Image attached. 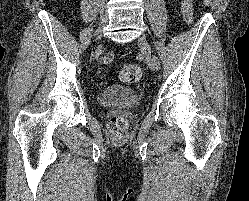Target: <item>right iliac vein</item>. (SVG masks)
I'll return each mask as SVG.
<instances>
[{"instance_id": "obj_1", "label": "right iliac vein", "mask_w": 249, "mask_h": 201, "mask_svg": "<svg viewBox=\"0 0 249 201\" xmlns=\"http://www.w3.org/2000/svg\"><path fill=\"white\" fill-rule=\"evenodd\" d=\"M101 48H102V47L99 46V47L95 50V53H94V56H95V57H98V56L101 54V51H102Z\"/></svg>"}]
</instances>
